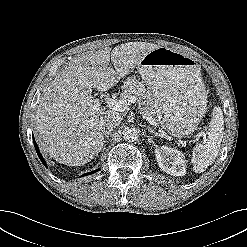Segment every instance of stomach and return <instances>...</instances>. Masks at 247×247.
Listing matches in <instances>:
<instances>
[{"label": "stomach", "mask_w": 247, "mask_h": 247, "mask_svg": "<svg viewBox=\"0 0 247 247\" xmlns=\"http://www.w3.org/2000/svg\"><path fill=\"white\" fill-rule=\"evenodd\" d=\"M152 90L164 126L174 137L194 132L206 110V91L197 62L168 47L147 53L137 65Z\"/></svg>", "instance_id": "stomach-1"}]
</instances>
